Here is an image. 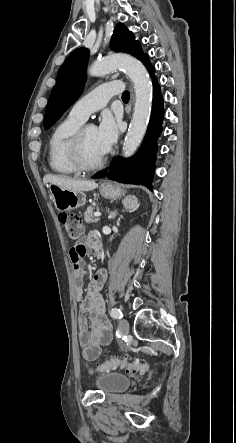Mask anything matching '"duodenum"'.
<instances>
[{
  "label": "duodenum",
  "mask_w": 236,
  "mask_h": 443,
  "mask_svg": "<svg viewBox=\"0 0 236 443\" xmlns=\"http://www.w3.org/2000/svg\"><path fill=\"white\" fill-rule=\"evenodd\" d=\"M96 256L97 257L101 256V246L96 250Z\"/></svg>",
  "instance_id": "duodenum-1"
}]
</instances>
